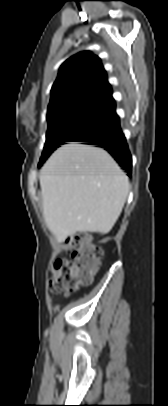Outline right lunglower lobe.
<instances>
[{"mask_svg": "<svg viewBox=\"0 0 168 406\" xmlns=\"http://www.w3.org/2000/svg\"><path fill=\"white\" fill-rule=\"evenodd\" d=\"M112 108L115 113V103ZM77 141L104 148L126 170L128 176L131 175L132 159L116 113L115 119L110 124Z\"/></svg>", "mask_w": 168, "mask_h": 406, "instance_id": "98d812e1", "label": "right lung lower lobe"}]
</instances>
